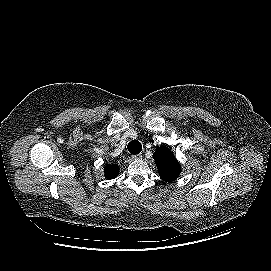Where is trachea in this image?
<instances>
[{"instance_id":"obj_1","label":"trachea","mask_w":271,"mask_h":271,"mask_svg":"<svg viewBox=\"0 0 271 271\" xmlns=\"http://www.w3.org/2000/svg\"><path fill=\"white\" fill-rule=\"evenodd\" d=\"M127 149L131 154L136 155L142 151V144L137 140H132L128 143Z\"/></svg>"}]
</instances>
